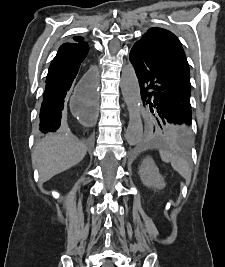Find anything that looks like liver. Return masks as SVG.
<instances>
[{
  "label": "liver",
  "mask_w": 225,
  "mask_h": 267,
  "mask_svg": "<svg viewBox=\"0 0 225 267\" xmlns=\"http://www.w3.org/2000/svg\"><path fill=\"white\" fill-rule=\"evenodd\" d=\"M87 148L71 134L48 137L36 144L32 164L39 170L42 183L78 164Z\"/></svg>",
  "instance_id": "liver-1"
}]
</instances>
